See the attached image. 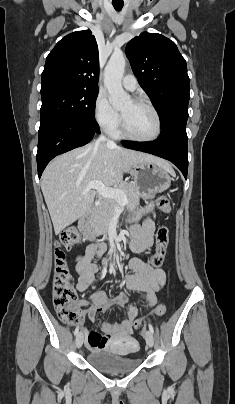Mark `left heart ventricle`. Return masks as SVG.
<instances>
[{
    "label": "left heart ventricle",
    "instance_id": "b2bd125f",
    "mask_svg": "<svg viewBox=\"0 0 235 404\" xmlns=\"http://www.w3.org/2000/svg\"><path fill=\"white\" fill-rule=\"evenodd\" d=\"M120 112L128 131L132 135L139 138H148L154 134L156 120L148 108L129 101L120 109Z\"/></svg>",
    "mask_w": 235,
    "mask_h": 404
}]
</instances>
